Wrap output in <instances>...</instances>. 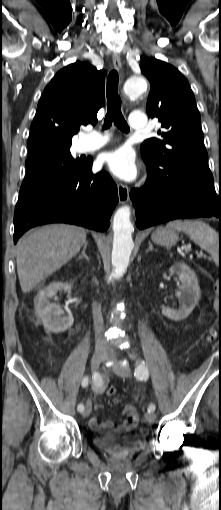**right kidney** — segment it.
Segmentation results:
<instances>
[{
	"mask_svg": "<svg viewBox=\"0 0 221 510\" xmlns=\"http://www.w3.org/2000/svg\"><path fill=\"white\" fill-rule=\"evenodd\" d=\"M59 290L70 292L71 286L64 282H53L41 289L34 300L36 316L45 329L54 333L64 332L74 323L71 314L65 315L59 305L50 302Z\"/></svg>",
	"mask_w": 221,
	"mask_h": 510,
	"instance_id": "ca27d5eb",
	"label": "right kidney"
}]
</instances>
